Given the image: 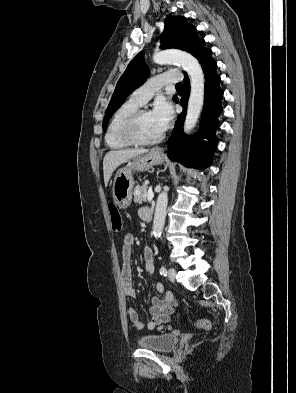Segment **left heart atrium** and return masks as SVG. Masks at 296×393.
Instances as JSON below:
<instances>
[{
	"label": "left heart atrium",
	"instance_id": "obj_1",
	"mask_svg": "<svg viewBox=\"0 0 296 393\" xmlns=\"http://www.w3.org/2000/svg\"><path fill=\"white\" fill-rule=\"evenodd\" d=\"M151 114L159 130L164 132L173 118L172 105L168 101L161 99L156 102Z\"/></svg>",
	"mask_w": 296,
	"mask_h": 393
}]
</instances>
